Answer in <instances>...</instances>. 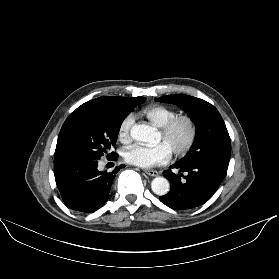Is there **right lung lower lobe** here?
Returning <instances> with one entry per match:
<instances>
[{"mask_svg":"<svg viewBox=\"0 0 279 279\" xmlns=\"http://www.w3.org/2000/svg\"><path fill=\"white\" fill-rule=\"evenodd\" d=\"M114 153L110 160L117 159ZM99 160H67L54 163V174L57 187L64 203L71 209L92 213L99 209L109 198V192L115 174L99 171Z\"/></svg>","mask_w":279,"mask_h":279,"instance_id":"obj_1","label":"right lung lower lobe"}]
</instances>
